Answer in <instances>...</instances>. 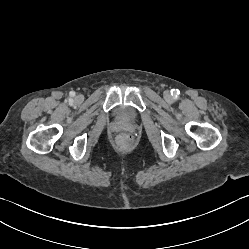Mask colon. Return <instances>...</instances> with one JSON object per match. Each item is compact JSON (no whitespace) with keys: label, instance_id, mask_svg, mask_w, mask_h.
Here are the masks:
<instances>
[{"label":"colon","instance_id":"5ec220e1","mask_svg":"<svg viewBox=\"0 0 249 249\" xmlns=\"http://www.w3.org/2000/svg\"><path fill=\"white\" fill-rule=\"evenodd\" d=\"M120 141L121 142H124V143H130L131 142V137L130 136H127V135H124L120 138Z\"/></svg>","mask_w":249,"mask_h":249}]
</instances>
